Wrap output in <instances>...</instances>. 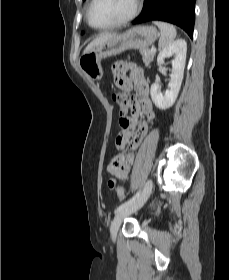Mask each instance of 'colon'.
Wrapping results in <instances>:
<instances>
[{
    "label": "colon",
    "instance_id": "obj_1",
    "mask_svg": "<svg viewBox=\"0 0 229 280\" xmlns=\"http://www.w3.org/2000/svg\"><path fill=\"white\" fill-rule=\"evenodd\" d=\"M119 101L122 104L126 105L129 103L130 100H129L128 96L120 95ZM118 124L122 130L128 129L130 127V119L128 118V116H126L124 114H120L119 119H118ZM109 170H111V171H127L128 170V165H127V163L124 162L122 153L113 154L110 164H109ZM108 185L110 188H113L114 182L109 181ZM117 195L120 198V200L125 199L126 193L122 187H117Z\"/></svg>",
    "mask_w": 229,
    "mask_h": 280
}]
</instances>
